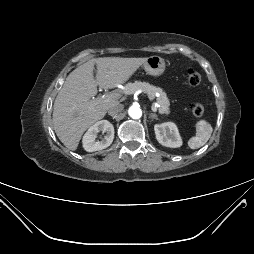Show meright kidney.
<instances>
[{"mask_svg":"<svg viewBox=\"0 0 254 254\" xmlns=\"http://www.w3.org/2000/svg\"><path fill=\"white\" fill-rule=\"evenodd\" d=\"M105 133L100 140L97 139L99 132ZM114 139V127L107 120H101L92 125L83 136V148L87 152H94L109 147Z\"/></svg>","mask_w":254,"mask_h":254,"instance_id":"ca27d5eb","label":"right kidney"}]
</instances>
